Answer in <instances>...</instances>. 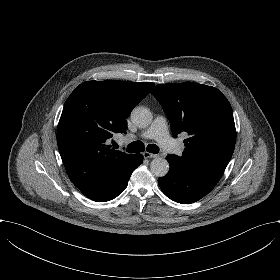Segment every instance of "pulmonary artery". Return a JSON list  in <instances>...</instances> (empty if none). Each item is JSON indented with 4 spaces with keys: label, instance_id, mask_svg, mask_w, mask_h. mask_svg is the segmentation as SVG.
Returning <instances> with one entry per match:
<instances>
[{
    "label": "pulmonary artery",
    "instance_id": "pulmonary-artery-1",
    "mask_svg": "<svg viewBox=\"0 0 280 280\" xmlns=\"http://www.w3.org/2000/svg\"><path fill=\"white\" fill-rule=\"evenodd\" d=\"M141 137L145 139H155L168 153L181 155L183 152L181 144L169 135L167 119L162 115L155 117L150 127L142 132Z\"/></svg>",
    "mask_w": 280,
    "mask_h": 280
}]
</instances>
